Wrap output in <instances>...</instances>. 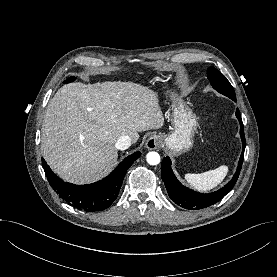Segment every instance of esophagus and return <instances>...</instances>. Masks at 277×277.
<instances>
[{"label":"esophagus","instance_id":"1","mask_svg":"<svg viewBox=\"0 0 277 277\" xmlns=\"http://www.w3.org/2000/svg\"><path fill=\"white\" fill-rule=\"evenodd\" d=\"M160 145H161V139L156 135L149 137L148 140L146 141V148L148 150L156 149Z\"/></svg>","mask_w":277,"mask_h":277}]
</instances>
